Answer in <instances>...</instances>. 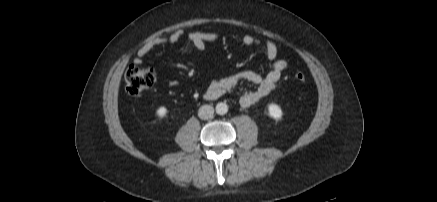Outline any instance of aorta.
I'll return each instance as SVG.
<instances>
[{
  "label": "aorta",
  "instance_id": "aorta-1",
  "mask_svg": "<svg viewBox=\"0 0 437 202\" xmlns=\"http://www.w3.org/2000/svg\"><path fill=\"white\" fill-rule=\"evenodd\" d=\"M216 113L219 115H224L228 112V106L224 102H220L215 107Z\"/></svg>",
  "mask_w": 437,
  "mask_h": 202
}]
</instances>
